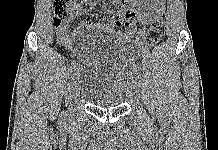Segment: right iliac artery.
Segmentation results:
<instances>
[{
    "label": "right iliac artery",
    "instance_id": "right-iliac-artery-1",
    "mask_svg": "<svg viewBox=\"0 0 218 150\" xmlns=\"http://www.w3.org/2000/svg\"><path fill=\"white\" fill-rule=\"evenodd\" d=\"M74 67H75V66H74L73 64H71V65L68 67V75H71V74H72Z\"/></svg>",
    "mask_w": 218,
    "mask_h": 150
}]
</instances>
